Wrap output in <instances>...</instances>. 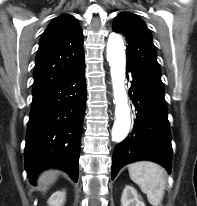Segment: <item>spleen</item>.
Returning <instances> with one entry per match:
<instances>
[{
    "instance_id": "obj_1",
    "label": "spleen",
    "mask_w": 197,
    "mask_h": 206,
    "mask_svg": "<svg viewBox=\"0 0 197 206\" xmlns=\"http://www.w3.org/2000/svg\"><path fill=\"white\" fill-rule=\"evenodd\" d=\"M131 180L147 195L152 206H159L165 193L166 172L158 164L139 161L128 165Z\"/></svg>"
}]
</instances>
